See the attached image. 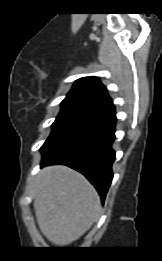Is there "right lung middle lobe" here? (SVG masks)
Listing matches in <instances>:
<instances>
[{
  "label": "right lung middle lobe",
  "mask_w": 162,
  "mask_h": 261,
  "mask_svg": "<svg viewBox=\"0 0 162 261\" xmlns=\"http://www.w3.org/2000/svg\"><path fill=\"white\" fill-rule=\"evenodd\" d=\"M61 105V111L52 124L50 137L76 120L104 108L99 101L75 94H68Z\"/></svg>",
  "instance_id": "1"
}]
</instances>
